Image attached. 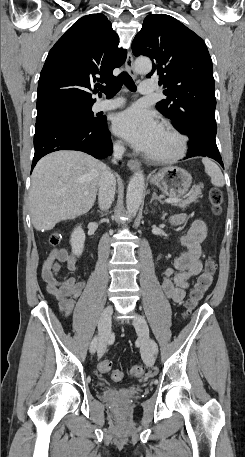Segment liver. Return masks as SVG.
<instances>
[{"label":"liver","mask_w":245,"mask_h":457,"mask_svg":"<svg viewBox=\"0 0 245 457\" xmlns=\"http://www.w3.org/2000/svg\"><path fill=\"white\" fill-rule=\"evenodd\" d=\"M104 172V162L80 150H56L38 160L29 196L34 229L51 231L59 220L88 212Z\"/></svg>","instance_id":"6515ba94"}]
</instances>
